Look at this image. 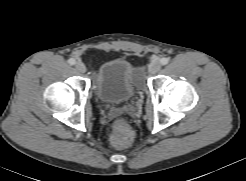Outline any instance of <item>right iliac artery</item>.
Returning <instances> with one entry per match:
<instances>
[{
  "instance_id": "82829eb1",
  "label": "right iliac artery",
  "mask_w": 246,
  "mask_h": 181,
  "mask_svg": "<svg viewBox=\"0 0 246 181\" xmlns=\"http://www.w3.org/2000/svg\"><path fill=\"white\" fill-rule=\"evenodd\" d=\"M68 63H69L70 65H74V64L76 63V61H75V59L70 58V59L68 60Z\"/></svg>"
}]
</instances>
